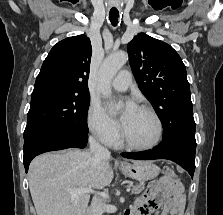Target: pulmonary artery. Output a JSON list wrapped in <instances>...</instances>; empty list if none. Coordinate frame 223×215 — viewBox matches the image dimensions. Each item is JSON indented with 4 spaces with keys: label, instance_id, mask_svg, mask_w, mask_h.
<instances>
[{
    "label": "pulmonary artery",
    "instance_id": "e3ab8cb5",
    "mask_svg": "<svg viewBox=\"0 0 223 215\" xmlns=\"http://www.w3.org/2000/svg\"><path fill=\"white\" fill-rule=\"evenodd\" d=\"M129 69H122L119 74L112 80L111 85L118 91H125L132 83V76Z\"/></svg>",
    "mask_w": 223,
    "mask_h": 215
}]
</instances>
